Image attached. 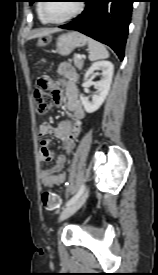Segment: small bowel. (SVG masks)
<instances>
[{"mask_svg": "<svg viewBox=\"0 0 158 275\" xmlns=\"http://www.w3.org/2000/svg\"><path fill=\"white\" fill-rule=\"evenodd\" d=\"M58 73L61 78L52 81L49 77H42L48 81V87L54 92V103L56 105L64 104L71 112L73 120H63L58 126L53 127L50 123H42L39 127V136L41 137L39 159L41 162H50L54 159V153L49 148V135H53L61 140L63 153L55 158L53 166L42 169L40 172V180L44 187H55L63 184L66 175L63 171L67 156L70 155L76 145V140L82 130V121L85 117V111L79 100V91L76 85L77 72L67 64L61 63L58 67ZM60 85L65 88V100L62 97Z\"/></svg>", "mask_w": 158, "mask_h": 275, "instance_id": "1", "label": "small bowel"}]
</instances>
